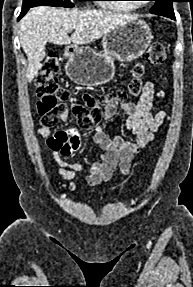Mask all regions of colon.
Returning <instances> with one entry per match:
<instances>
[{
  "label": "colon",
  "instance_id": "1",
  "mask_svg": "<svg viewBox=\"0 0 193 287\" xmlns=\"http://www.w3.org/2000/svg\"><path fill=\"white\" fill-rule=\"evenodd\" d=\"M165 57L164 45L160 42L152 43L145 54L144 61L136 64L133 68V79L126 91H119L115 96L86 93L83 95L82 101L77 102L71 98L70 92L59 84L57 77L60 69L59 60L55 53H49L36 78V91L39 98L38 111L42 115V127L53 129L61 113L69 107L80 127L92 128L102 119V109L107 103L115 98L124 100L128 97L138 96L142 90L141 78L146 73V67L163 64ZM67 132L72 131L67 130Z\"/></svg>",
  "mask_w": 193,
  "mask_h": 287
}]
</instances>
